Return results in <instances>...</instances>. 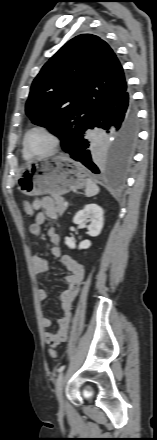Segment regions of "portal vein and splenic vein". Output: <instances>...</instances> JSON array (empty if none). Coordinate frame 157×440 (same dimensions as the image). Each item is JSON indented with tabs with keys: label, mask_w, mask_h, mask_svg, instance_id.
<instances>
[{
	"label": "portal vein and splenic vein",
	"mask_w": 157,
	"mask_h": 440,
	"mask_svg": "<svg viewBox=\"0 0 157 440\" xmlns=\"http://www.w3.org/2000/svg\"><path fill=\"white\" fill-rule=\"evenodd\" d=\"M64 205H65V206H68V202L65 201V202H64Z\"/></svg>",
	"instance_id": "1"
}]
</instances>
